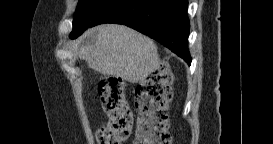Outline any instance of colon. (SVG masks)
Here are the masks:
<instances>
[{
    "label": "colon",
    "instance_id": "1",
    "mask_svg": "<svg viewBox=\"0 0 273 144\" xmlns=\"http://www.w3.org/2000/svg\"><path fill=\"white\" fill-rule=\"evenodd\" d=\"M172 82V71L167 63H163L138 85L135 144L171 143L167 108L172 99ZM97 92L107 119L97 130L98 143H123L131 134L133 123L123 82L113 77L103 79L98 83Z\"/></svg>",
    "mask_w": 273,
    "mask_h": 144
}]
</instances>
